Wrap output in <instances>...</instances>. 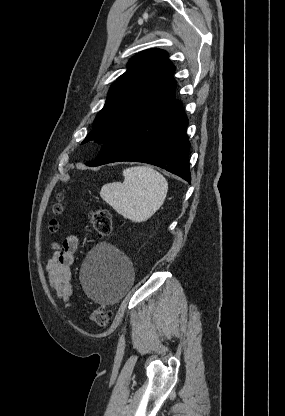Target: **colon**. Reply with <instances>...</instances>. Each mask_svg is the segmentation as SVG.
Masks as SVG:
<instances>
[{"label":"colon","mask_w":285,"mask_h":416,"mask_svg":"<svg viewBox=\"0 0 285 416\" xmlns=\"http://www.w3.org/2000/svg\"><path fill=\"white\" fill-rule=\"evenodd\" d=\"M62 197L53 206L54 218L49 223V230L57 232L59 229V222L57 217L63 212ZM90 224L94 231L100 236H107L112 230V216L111 213L104 208L93 211L89 218ZM113 312L105 307L98 306L90 314L91 322L98 328H105L111 321Z\"/></svg>","instance_id":"5ec220e1"}]
</instances>
